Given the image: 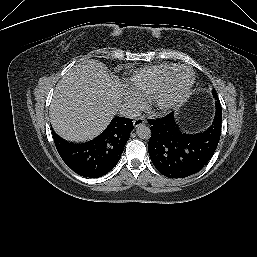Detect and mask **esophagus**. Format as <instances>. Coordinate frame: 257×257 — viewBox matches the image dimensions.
<instances>
[{
  "mask_svg": "<svg viewBox=\"0 0 257 257\" xmlns=\"http://www.w3.org/2000/svg\"><path fill=\"white\" fill-rule=\"evenodd\" d=\"M144 123H145V118H144V117L136 118V119L133 121V125H134L135 127H138V126H140V125H142V124H144Z\"/></svg>",
  "mask_w": 257,
  "mask_h": 257,
  "instance_id": "obj_1",
  "label": "esophagus"
}]
</instances>
